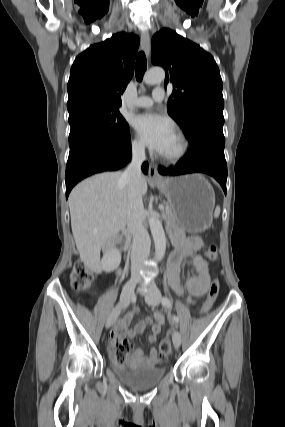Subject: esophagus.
I'll list each match as a JSON object with an SVG mask.
<instances>
[{
  "label": "esophagus",
  "instance_id": "34e87169",
  "mask_svg": "<svg viewBox=\"0 0 285 427\" xmlns=\"http://www.w3.org/2000/svg\"><path fill=\"white\" fill-rule=\"evenodd\" d=\"M141 43L143 50L147 57L150 55V37L148 32H143L141 34ZM149 179L153 181H160L162 180V177L158 174L156 166L153 164L149 165V171H148Z\"/></svg>",
  "mask_w": 285,
  "mask_h": 427
}]
</instances>
